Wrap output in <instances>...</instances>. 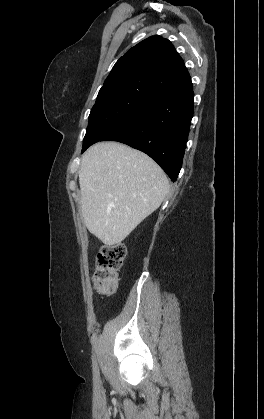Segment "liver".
<instances>
[{"label":"liver","mask_w":264,"mask_h":419,"mask_svg":"<svg viewBox=\"0 0 264 419\" xmlns=\"http://www.w3.org/2000/svg\"><path fill=\"white\" fill-rule=\"evenodd\" d=\"M79 184L84 225L107 246L121 243L169 191L154 160L118 142H100L84 153Z\"/></svg>","instance_id":"1"}]
</instances>
